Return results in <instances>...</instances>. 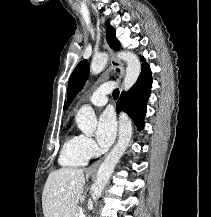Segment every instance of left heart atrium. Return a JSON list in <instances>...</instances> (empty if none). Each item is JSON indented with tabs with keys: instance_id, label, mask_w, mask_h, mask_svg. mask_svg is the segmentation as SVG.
<instances>
[{
	"instance_id": "obj_1",
	"label": "left heart atrium",
	"mask_w": 211,
	"mask_h": 217,
	"mask_svg": "<svg viewBox=\"0 0 211 217\" xmlns=\"http://www.w3.org/2000/svg\"><path fill=\"white\" fill-rule=\"evenodd\" d=\"M116 136V121L110 111L104 112L98 121L96 138L102 147L112 144Z\"/></svg>"
}]
</instances>
